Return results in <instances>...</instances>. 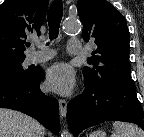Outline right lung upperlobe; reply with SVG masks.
<instances>
[{
	"label": "right lung upper lobe",
	"instance_id": "1",
	"mask_svg": "<svg viewBox=\"0 0 144 137\" xmlns=\"http://www.w3.org/2000/svg\"><path fill=\"white\" fill-rule=\"evenodd\" d=\"M49 0H6L0 6V68L25 59L27 35H40Z\"/></svg>",
	"mask_w": 144,
	"mask_h": 137
}]
</instances>
